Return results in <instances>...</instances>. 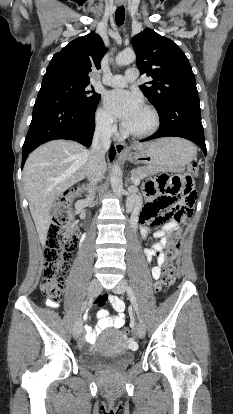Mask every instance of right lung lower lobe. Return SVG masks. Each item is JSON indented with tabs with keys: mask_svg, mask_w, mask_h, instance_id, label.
<instances>
[{
	"mask_svg": "<svg viewBox=\"0 0 233 414\" xmlns=\"http://www.w3.org/2000/svg\"><path fill=\"white\" fill-rule=\"evenodd\" d=\"M94 107L71 105L52 97H38L22 149V168L28 154L40 144L55 139H70L89 147L95 128ZM115 149H110V160Z\"/></svg>",
	"mask_w": 233,
	"mask_h": 414,
	"instance_id": "obj_1",
	"label": "right lung lower lobe"
}]
</instances>
